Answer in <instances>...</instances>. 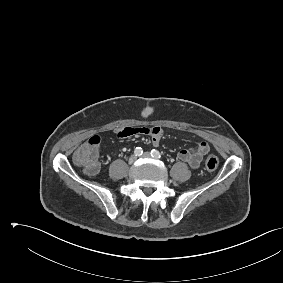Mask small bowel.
<instances>
[{"label": "small bowel", "instance_id": "1", "mask_svg": "<svg viewBox=\"0 0 283 283\" xmlns=\"http://www.w3.org/2000/svg\"><path fill=\"white\" fill-rule=\"evenodd\" d=\"M115 133L118 138H127L136 134H145L150 136L154 146L159 144V141L163 135V131L160 127H121L116 129ZM209 150V144L206 141H200L192 148L179 151L177 156L181 161L187 163L191 168H197L200 165L203 156L208 153ZM96 172L97 171L94 173Z\"/></svg>", "mask_w": 283, "mask_h": 283}]
</instances>
